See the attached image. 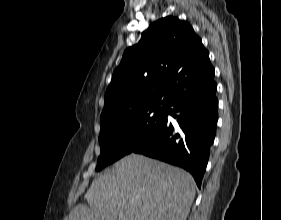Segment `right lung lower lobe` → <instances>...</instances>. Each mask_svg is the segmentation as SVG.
Here are the masks:
<instances>
[{
    "instance_id": "1",
    "label": "right lung lower lobe",
    "mask_w": 281,
    "mask_h": 220,
    "mask_svg": "<svg viewBox=\"0 0 281 220\" xmlns=\"http://www.w3.org/2000/svg\"><path fill=\"white\" fill-rule=\"evenodd\" d=\"M217 85L183 94L167 107L178 127L167 116L159 131L132 152L184 168L200 188L217 124ZM170 107H172L170 109Z\"/></svg>"
}]
</instances>
